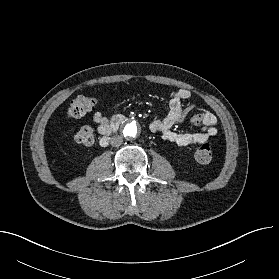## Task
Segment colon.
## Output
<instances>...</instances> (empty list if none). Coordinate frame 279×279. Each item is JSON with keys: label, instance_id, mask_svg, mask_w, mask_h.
<instances>
[{"label": "colon", "instance_id": "5ec220e1", "mask_svg": "<svg viewBox=\"0 0 279 279\" xmlns=\"http://www.w3.org/2000/svg\"><path fill=\"white\" fill-rule=\"evenodd\" d=\"M94 99L81 95L74 99L68 109L67 116L72 119H78L85 116L88 112H90L94 106ZM76 143L80 145L88 146L92 144L94 140V134L90 127H82L74 137ZM195 159L198 163L207 164L211 162L213 158V153L211 150V146L209 143H204L195 151Z\"/></svg>", "mask_w": 279, "mask_h": 279}]
</instances>
